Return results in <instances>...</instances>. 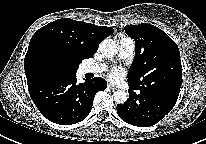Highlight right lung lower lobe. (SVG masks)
Here are the masks:
<instances>
[{
  "instance_id": "1",
  "label": "right lung lower lobe",
  "mask_w": 206,
  "mask_h": 144,
  "mask_svg": "<svg viewBox=\"0 0 206 144\" xmlns=\"http://www.w3.org/2000/svg\"><path fill=\"white\" fill-rule=\"evenodd\" d=\"M30 96L48 120L71 125L84 120L90 113L96 92L107 82L101 77L77 83L74 75H37L27 80Z\"/></svg>"
}]
</instances>
